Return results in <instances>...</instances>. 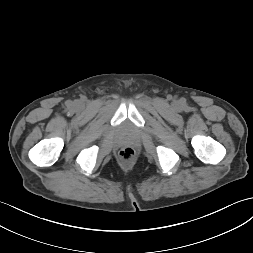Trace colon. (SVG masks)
<instances>
[{"mask_svg":"<svg viewBox=\"0 0 253 253\" xmlns=\"http://www.w3.org/2000/svg\"><path fill=\"white\" fill-rule=\"evenodd\" d=\"M119 157L124 162H130L135 157V150L131 147H124L120 150Z\"/></svg>","mask_w":253,"mask_h":253,"instance_id":"5ec220e1","label":"colon"}]
</instances>
